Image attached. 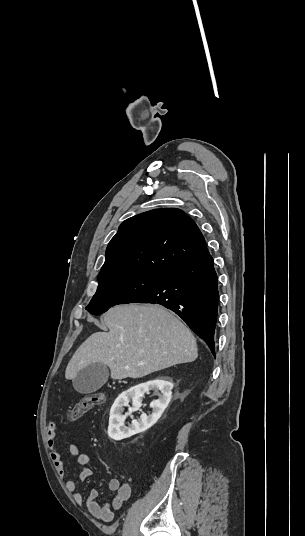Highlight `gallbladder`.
<instances>
[{
	"instance_id": "bac80fb5",
	"label": "gallbladder",
	"mask_w": 305,
	"mask_h": 536,
	"mask_svg": "<svg viewBox=\"0 0 305 536\" xmlns=\"http://www.w3.org/2000/svg\"><path fill=\"white\" fill-rule=\"evenodd\" d=\"M109 372L106 364H90L78 372L76 378L72 380L74 390L79 394H92L106 384Z\"/></svg>"
}]
</instances>
